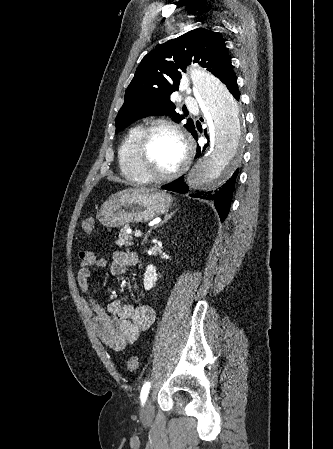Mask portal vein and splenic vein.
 Masks as SVG:
<instances>
[{
    "label": "portal vein and splenic vein",
    "instance_id": "1",
    "mask_svg": "<svg viewBox=\"0 0 333 449\" xmlns=\"http://www.w3.org/2000/svg\"><path fill=\"white\" fill-rule=\"evenodd\" d=\"M135 237H139V236H141L142 235V233L140 232V231H135Z\"/></svg>",
    "mask_w": 333,
    "mask_h": 449
}]
</instances>
